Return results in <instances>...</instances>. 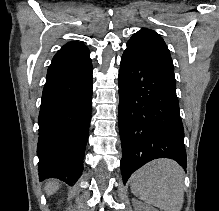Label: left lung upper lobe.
I'll list each match as a JSON object with an SVG mask.
<instances>
[{
    "label": "left lung upper lobe",
    "instance_id": "5c2ea615",
    "mask_svg": "<svg viewBox=\"0 0 219 211\" xmlns=\"http://www.w3.org/2000/svg\"><path fill=\"white\" fill-rule=\"evenodd\" d=\"M125 51L174 76L170 52L164 40L155 31L147 28L141 29L130 38Z\"/></svg>",
    "mask_w": 219,
    "mask_h": 211
}]
</instances>
